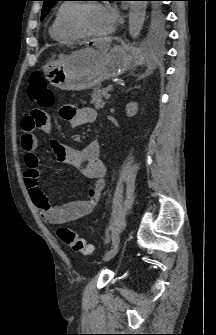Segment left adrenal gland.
<instances>
[{
	"instance_id": "a2214340",
	"label": "left adrenal gland",
	"mask_w": 216,
	"mask_h": 335,
	"mask_svg": "<svg viewBox=\"0 0 216 335\" xmlns=\"http://www.w3.org/2000/svg\"><path fill=\"white\" fill-rule=\"evenodd\" d=\"M141 77H144V75H142ZM135 88H138L137 86Z\"/></svg>"
}]
</instances>
